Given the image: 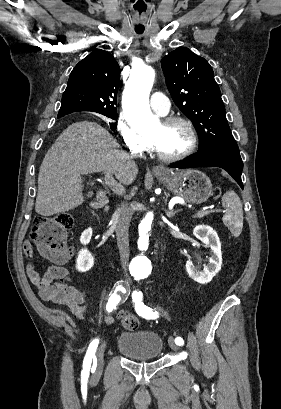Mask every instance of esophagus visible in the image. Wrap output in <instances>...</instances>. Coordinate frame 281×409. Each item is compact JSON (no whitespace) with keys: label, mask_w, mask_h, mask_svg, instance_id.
Wrapping results in <instances>:
<instances>
[{"label":"esophagus","mask_w":281,"mask_h":409,"mask_svg":"<svg viewBox=\"0 0 281 409\" xmlns=\"http://www.w3.org/2000/svg\"><path fill=\"white\" fill-rule=\"evenodd\" d=\"M152 170L154 173L163 172V168L158 165L154 166Z\"/></svg>","instance_id":"1"}]
</instances>
